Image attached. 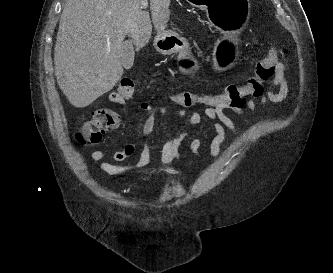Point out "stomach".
I'll return each instance as SVG.
<instances>
[{
	"instance_id": "1",
	"label": "stomach",
	"mask_w": 333,
	"mask_h": 273,
	"mask_svg": "<svg viewBox=\"0 0 333 273\" xmlns=\"http://www.w3.org/2000/svg\"><path fill=\"white\" fill-rule=\"evenodd\" d=\"M190 5L208 10L215 32H225L226 38H234L235 32H246L253 22L248 12L251 0H186ZM156 50L164 55L181 54L185 57L189 50L186 38L173 30L158 33L154 40ZM236 44H216L213 58L209 59L212 70H222L223 75H230L234 65H241V53L236 51ZM180 70H195L193 58H182Z\"/></svg>"
}]
</instances>
